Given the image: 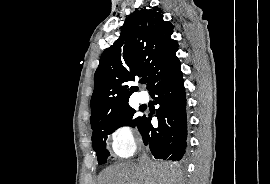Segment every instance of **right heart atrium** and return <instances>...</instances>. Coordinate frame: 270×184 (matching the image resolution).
Listing matches in <instances>:
<instances>
[{"label":"right heart atrium","mask_w":270,"mask_h":184,"mask_svg":"<svg viewBox=\"0 0 270 184\" xmlns=\"http://www.w3.org/2000/svg\"><path fill=\"white\" fill-rule=\"evenodd\" d=\"M138 139L132 127L127 123L117 124L110 133L111 148L116 156L126 159L133 156Z\"/></svg>","instance_id":"obj_1"}]
</instances>
